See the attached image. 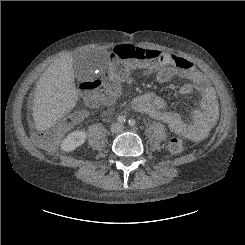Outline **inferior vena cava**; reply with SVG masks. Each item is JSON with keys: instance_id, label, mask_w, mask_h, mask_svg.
<instances>
[{"instance_id": "1", "label": "inferior vena cava", "mask_w": 245, "mask_h": 245, "mask_svg": "<svg viewBox=\"0 0 245 245\" xmlns=\"http://www.w3.org/2000/svg\"><path fill=\"white\" fill-rule=\"evenodd\" d=\"M122 125L117 124V129L115 130L116 132H120L122 130Z\"/></svg>"}]
</instances>
